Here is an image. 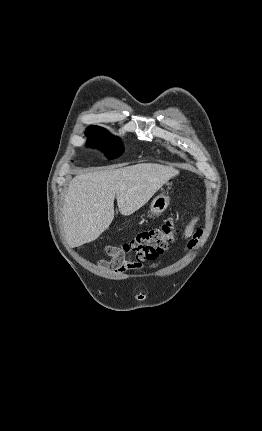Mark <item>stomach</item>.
<instances>
[{
    "label": "stomach",
    "mask_w": 262,
    "mask_h": 431,
    "mask_svg": "<svg viewBox=\"0 0 262 431\" xmlns=\"http://www.w3.org/2000/svg\"><path fill=\"white\" fill-rule=\"evenodd\" d=\"M170 198L165 194H160L155 197L150 206V212L153 215H159L164 212L169 206Z\"/></svg>",
    "instance_id": "1"
}]
</instances>
